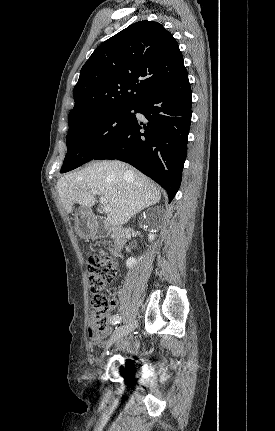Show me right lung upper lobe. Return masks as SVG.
Returning <instances> with one entry per match:
<instances>
[{
  "instance_id": "right-lung-upper-lobe-1",
  "label": "right lung upper lobe",
  "mask_w": 275,
  "mask_h": 431,
  "mask_svg": "<svg viewBox=\"0 0 275 431\" xmlns=\"http://www.w3.org/2000/svg\"><path fill=\"white\" fill-rule=\"evenodd\" d=\"M183 70L171 33L154 21L134 23L98 46L82 67L68 124L109 107L136 106Z\"/></svg>"
}]
</instances>
